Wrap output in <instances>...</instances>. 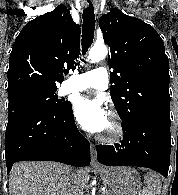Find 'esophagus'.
Returning <instances> with one entry per match:
<instances>
[{
	"instance_id": "1",
	"label": "esophagus",
	"mask_w": 178,
	"mask_h": 195,
	"mask_svg": "<svg viewBox=\"0 0 178 195\" xmlns=\"http://www.w3.org/2000/svg\"><path fill=\"white\" fill-rule=\"evenodd\" d=\"M91 166L99 167L100 164L97 160V152L94 144H91Z\"/></svg>"
}]
</instances>
